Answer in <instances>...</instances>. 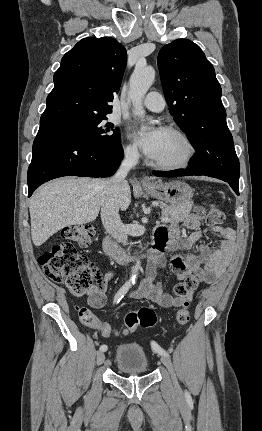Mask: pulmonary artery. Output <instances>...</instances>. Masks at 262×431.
<instances>
[{
  "mask_svg": "<svg viewBox=\"0 0 262 431\" xmlns=\"http://www.w3.org/2000/svg\"><path fill=\"white\" fill-rule=\"evenodd\" d=\"M143 105L154 112H160L165 107V100L158 92H149L143 100Z\"/></svg>",
  "mask_w": 262,
  "mask_h": 431,
  "instance_id": "e3ab8cb5",
  "label": "pulmonary artery"
}]
</instances>
